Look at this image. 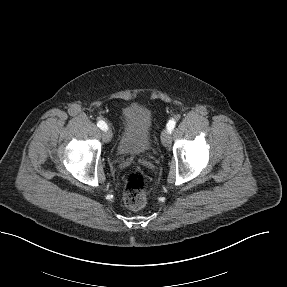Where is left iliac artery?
Wrapping results in <instances>:
<instances>
[{
    "label": "left iliac artery",
    "instance_id": "left-iliac-artery-1",
    "mask_svg": "<svg viewBox=\"0 0 287 287\" xmlns=\"http://www.w3.org/2000/svg\"><path fill=\"white\" fill-rule=\"evenodd\" d=\"M175 125L176 121L174 119L169 120V122L167 123V129L169 130L170 133L175 128Z\"/></svg>",
    "mask_w": 287,
    "mask_h": 287
}]
</instances>
